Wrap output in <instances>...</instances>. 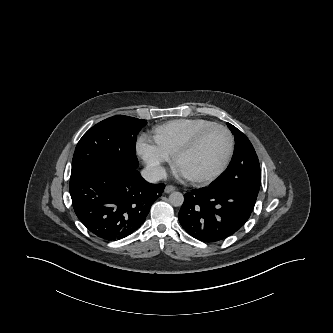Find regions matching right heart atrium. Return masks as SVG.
Instances as JSON below:
<instances>
[{
  "instance_id": "1",
  "label": "right heart atrium",
  "mask_w": 333,
  "mask_h": 333,
  "mask_svg": "<svg viewBox=\"0 0 333 333\" xmlns=\"http://www.w3.org/2000/svg\"><path fill=\"white\" fill-rule=\"evenodd\" d=\"M137 153L147 165L151 174L160 178L164 174V164L170 159V155L161 150L156 144L141 137L137 142Z\"/></svg>"
}]
</instances>
